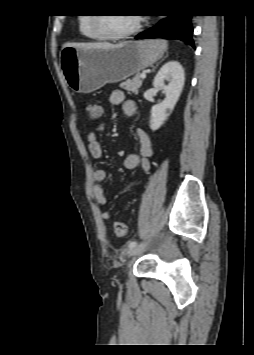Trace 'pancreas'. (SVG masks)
I'll list each match as a JSON object with an SVG mask.
<instances>
[{
	"label": "pancreas",
	"instance_id": "obj_1",
	"mask_svg": "<svg viewBox=\"0 0 254 355\" xmlns=\"http://www.w3.org/2000/svg\"><path fill=\"white\" fill-rule=\"evenodd\" d=\"M142 85V79L140 75H136L133 77V79H129L125 82H122L120 84V87L128 91V93H134L135 95L138 94L139 88Z\"/></svg>",
	"mask_w": 254,
	"mask_h": 355
}]
</instances>
